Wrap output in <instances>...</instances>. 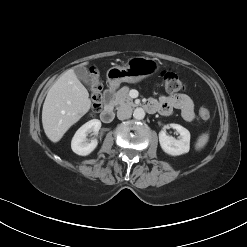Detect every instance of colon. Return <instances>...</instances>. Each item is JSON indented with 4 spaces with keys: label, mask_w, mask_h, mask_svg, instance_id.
<instances>
[{
    "label": "colon",
    "mask_w": 247,
    "mask_h": 247,
    "mask_svg": "<svg viewBox=\"0 0 247 247\" xmlns=\"http://www.w3.org/2000/svg\"><path fill=\"white\" fill-rule=\"evenodd\" d=\"M162 85L169 92H180L185 89V84L181 78L174 72L163 71L161 74ZM91 96L93 101V111L96 112L100 109L102 103L101 88L95 76L92 78L91 83ZM199 116L202 120H208L211 117V112L207 107L199 109Z\"/></svg>",
    "instance_id": "colon-1"
}]
</instances>
